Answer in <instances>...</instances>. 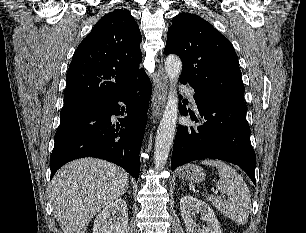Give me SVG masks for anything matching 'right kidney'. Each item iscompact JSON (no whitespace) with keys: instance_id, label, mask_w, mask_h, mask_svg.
Wrapping results in <instances>:
<instances>
[{"instance_id":"obj_1","label":"right kidney","mask_w":306,"mask_h":233,"mask_svg":"<svg viewBox=\"0 0 306 233\" xmlns=\"http://www.w3.org/2000/svg\"><path fill=\"white\" fill-rule=\"evenodd\" d=\"M127 226V204L120 198L107 205L96 216L93 233H125Z\"/></svg>"}]
</instances>
